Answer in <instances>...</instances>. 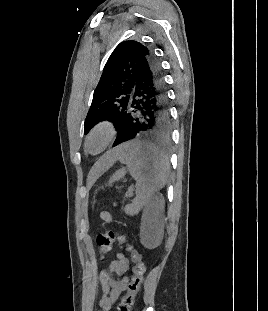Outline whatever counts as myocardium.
Wrapping results in <instances>:
<instances>
[{"label": "myocardium", "mask_w": 268, "mask_h": 311, "mask_svg": "<svg viewBox=\"0 0 268 311\" xmlns=\"http://www.w3.org/2000/svg\"><path fill=\"white\" fill-rule=\"evenodd\" d=\"M114 135L115 127L111 121L102 120L96 123L85 138L84 146L86 151L91 154H99L103 152L113 140ZM95 138L100 139L99 145L97 148L91 149L90 144Z\"/></svg>", "instance_id": "f54148a6"}]
</instances>
